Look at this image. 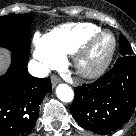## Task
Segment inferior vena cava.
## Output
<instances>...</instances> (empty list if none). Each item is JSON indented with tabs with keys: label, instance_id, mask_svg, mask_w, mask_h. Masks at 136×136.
Returning a JSON list of instances; mask_svg holds the SVG:
<instances>
[{
	"label": "inferior vena cava",
	"instance_id": "602c4592",
	"mask_svg": "<svg viewBox=\"0 0 136 136\" xmlns=\"http://www.w3.org/2000/svg\"><path fill=\"white\" fill-rule=\"evenodd\" d=\"M28 71L29 73L34 76V77H38V78H44L46 76H48L49 74V68L40 63L37 62L35 60H31L28 64Z\"/></svg>",
	"mask_w": 136,
	"mask_h": 136
}]
</instances>
